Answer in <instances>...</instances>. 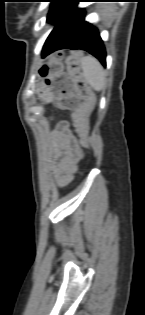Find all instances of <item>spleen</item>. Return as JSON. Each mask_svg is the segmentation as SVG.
Returning <instances> with one entry per match:
<instances>
[{
    "label": "spleen",
    "instance_id": "spleen-1",
    "mask_svg": "<svg viewBox=\"0 0 145 315\" xmlns=\"http://www.w3.org/2000/svg\"><path fill=\"white\" fill-rule=\"evenodd\" d=\"M85 81L95 91H101L105 87V73L102 65L93 56H84L80 59Z\"/></svg>",
    "mask_w": 145,
    "mask_h": 315
}]
</instances>
